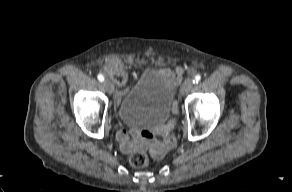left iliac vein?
<instances>
[{"label":"left iliac vein","mask_w":292,"mask_h":192,"mask_svg":"<svg viewBox=\"0 0 292 192\" xmlns=\"http://www.w3.org/2000/svg\"><path fill=\"white\" fill-rule=\"evenodd\" d=\"M192 86H193V80L191 78H187L182 84L181 94L183 96L186 95L192 89Z\"/></svg>","instance_id":"4c4485c4"}]
</instances>
